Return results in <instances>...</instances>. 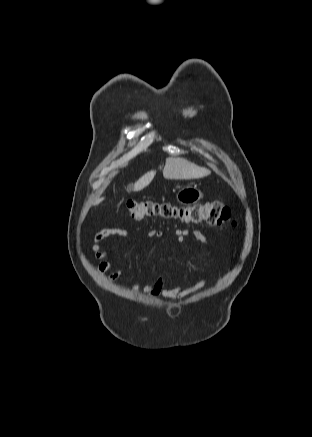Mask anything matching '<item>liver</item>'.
<instances>
[{
	"mask_svg": "<svg viewBox=\"0 0 312 437\" xmlns=\"http://www.w3.org/2000/svg\"><path fill=\"white\" fill-rule=\"evenodd\" d=\"M211 171L197 166L194 163L189 162L184 158H167L165 167L163 169V176L166 179H197L210 175ZM156 171L151 170L144 174L133 187H129V190L140 191L147 187L153 180ZM104 198H100L95 204L102 202Z\"/></svg>",
	"mask_w": 312,
	"mask_h": 437,
	"instance_id": "6515ba94",
	"label": "liver"
}]
</instances>
